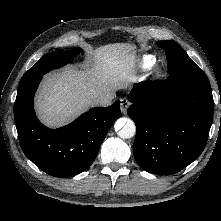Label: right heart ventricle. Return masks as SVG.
I'll use <instances>...</instances> for the list:
<instances>
[{"label": "right heart ventricle", "instance_id": "e07e8e85", "mask_svg": "<svg viewBox=\"0 0 221 221\" xmlns=\"http://www.w3.org/2000/svg\"><path fill=\"white\" fill-rule=\"evenodd\" d=\"M155 63V58L149 55H146L142 58L141 66L143 69L151 68Z\"/></svg>", "mask_w": 221, "mask_h": 221}]
</instances>
